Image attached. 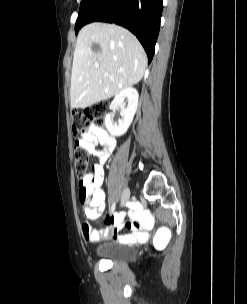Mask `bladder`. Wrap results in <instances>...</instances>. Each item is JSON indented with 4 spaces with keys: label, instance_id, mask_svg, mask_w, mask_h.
<instances>
[{
    "label": "bladder",
    "instance_id": "1",
    "mask_svg": "<svg viewBox=\"0 0 247 304\" xmlns=\"http://www.w3.org/2000/svg\"><path fill=\"white\" fill-rule=\"evenodd\" d=\"M97 256L112 263H123L134 256V250L129 245L111 242L100 247Z\"/></svg>",
    "mask_w": 247,
    "mask_h": 304
}]
</instances>
